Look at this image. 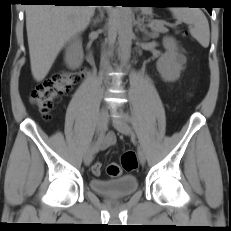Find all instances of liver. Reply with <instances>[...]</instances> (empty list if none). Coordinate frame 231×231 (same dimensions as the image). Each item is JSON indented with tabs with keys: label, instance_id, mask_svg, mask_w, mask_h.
<instances>
[{
	"label": "liver",
	"instance_id": "obj_1",
	"mask_svg": "<svg viewBox=\"0 0 231 231\" xmlns=\"http://www.w3.org/2000/svg\"><path fill=\"white\" fill-rule=\"evenodd\" d=\"M95 7L28 5L25 8L31 72L36 81L47 76L65 43L87 28Z\"/></svg>",
	"mask_w": 231,
	"mask_h": 231
}]
</instances>
